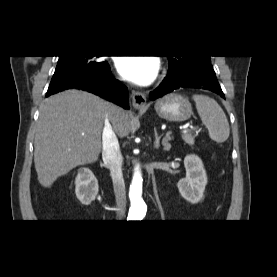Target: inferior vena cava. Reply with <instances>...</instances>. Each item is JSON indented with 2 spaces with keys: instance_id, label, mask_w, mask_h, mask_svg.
Returning <instances> with one entry per match:
<instances>
[{
  "instance_id": "obj_1",
  "label": "inferior vena cava",
  "mask_w": 277,
  "mask_h": 277,
  "mask_svg": "<svg viewBox=\"0 0 277 277\" xmlns=\"http://www.w3.org/2000/svg\"><path fill=\"white\" fill-rule=\"evenodd\" d=\"M111 117L105 119L102 134L104 164L110 169L116 199V213L118 218H123L126 211V191L122 173V154L118 139L110 124Z\"/></svg>"
}]
</instances>
